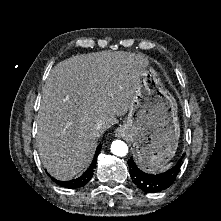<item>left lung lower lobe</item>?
Returning a JSON list of instances; mask_svg holds the SVG:
<instances>
[{"mask_svg":"<svg viewBox=\"0 0 221 221\" xmlns=\"http://www.w3.org/2000/svg\"><path fill=\"white\" fill-rule=\"evenodd\" d=\"M183 156L180 160L168 171L156 175L147 174L141 171L133 159L128 161L130 176L134 184L146 193H156L167 189L174 182L180 171V166Z\"/></svg>","mask_w":221,"mask_h":221,"instance_id":"1","label":"left lung lower lobe"}]
</instances>
